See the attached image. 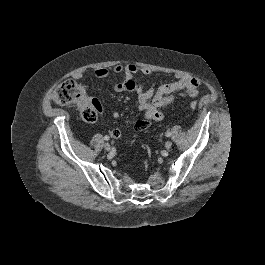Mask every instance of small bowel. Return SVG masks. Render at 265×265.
<instances>
[{
  "label": "small bowel",
  "instance_id": "1",
  "mask_svg": "<svg viewBox=\"0 0 265 265\" xmlns=\"http://www.w3.org/2000/svg\"><path fill=\"white\" fill-rule=\"evenodd\" d=\"M116 74H123L124 81L118 82L114 85V91L117 93L130 91L136 94L138 101V110L144 113V119L138 120L135 123L136 130H143L147 128L152 122L160 121L163 118L161 108L171 104L176 97V94L182 92L183 96L194 98L198 95V88L200 81L196 77L186 74H176L175 81L169 84H164L159 87L153 83L149 88H144L134 77L137 73H142L146 76L151 74L150 69L138 67L135 64L116 65L114 67ZM110 74L107 68H96L92 71H83L74 75V79L80 80L88 75H93L96 78H106ZM90 99V98H89ZM97 101L96 99H90ZM100 105V103H99ZM101 108V106H100ZM118 111L112 113L113 118H119ZM113 138H119L121 133L115 129L111 132Z\"/></svg>",
  "mask_w": 265,
  "mask_h": 265
}]
</instances>
